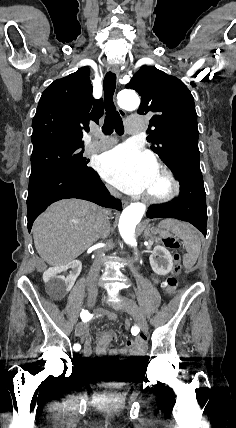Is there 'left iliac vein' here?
I'll list each match as a JSON object with an SVG mask.
<instances>
[{
	"label": "left iliac vein",
	"instance_id": "1",
	"mask_svg": "<svg viewBox=\"0 0 236 428\" xmlns=\"http://www.w3.org/2000/svg\"><path fill=\"white\" fill-rule=\"evenodd\" d=\"M101 295L103 296L104 299L106 298L105 297L106 294L104 292ZM121 298L125 304H129V310L133 312V316L135 317V319H134L135 325H137V324L140 325V327H141L140 330H142L143 333H146L148 325L145 322L144 317L140 315L138 304L134 301L133 298H125L124 296H122ZM112 300L113 301L114 300L120 301L121 299L120 298H118V299L113 298Z\"/></svg>",
	"mask_w": 236,
	"mask_h": 428
}]
</instances>
